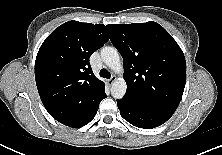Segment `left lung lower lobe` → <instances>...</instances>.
Masks as SVG:
<instances>
[{"label":"left lung lower lobe","mask_w":222,"mask_h":155,"mask_svg":"<svg viewBox=\"0 0 222 155\" xmlns=\"http://www.w3.org/2000/svg\"><path fill=\"white\" fill-rule=\"evenodd\" d=\"M117 106L121 116L130 124L143 128L152 129L166 122L172 115L139 106L124 98L117 100Z\"/></svg>","instance_id":"obj_1"}]
</instances>
